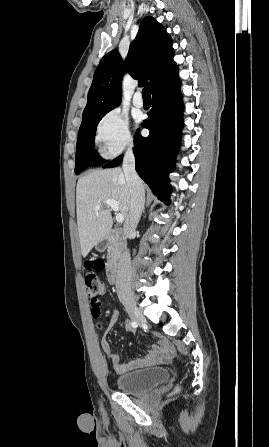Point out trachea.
<instances>
[{
    "mask_svg": "<svg viewBox=\"0 0 269 447\" xmlns=\"http://www.w3.org/2000/svg\"><path fill=\"white\" fill-rule=\"evenodd\" d=\"M142 97H143V100H151V93H150L149 88H147V87L143 88Z\"/></svg>",
    "mask_w": 269,
    "mask_h": 447,
    "instance_id": "1",
    "label": "trachea"
}]
</instances>
